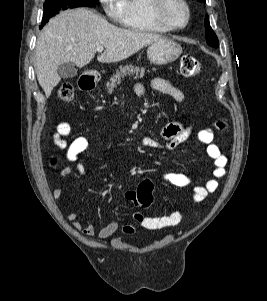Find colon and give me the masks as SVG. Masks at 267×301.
Segmentation results:
<instances>
[{"label": "colon", "instance_id": "1", "mask_svg": "<svg viewBox=\"0 0 267 301\" xmlns=\"http://www.w3.org/2000/svg\"><path fill=\"white\" fill-rule=\"evenodd\" d=\"M201 71V63L193 55H184L181 58L180 72L184 77H194L198 75ZM58 97L60 100L68 102L74 97V88L69 83H64L60 86L58 90ZM216 128L219 130H224L226 124L224 121H217L215 124ZM53 164L56 160L52 161ZM135 198L138 205L141 207H148L153 201V183L149 179H144L140 182L135 192Z\"/></svg>", "mask_w": 267, "mask_h": 301}]
</instances>
